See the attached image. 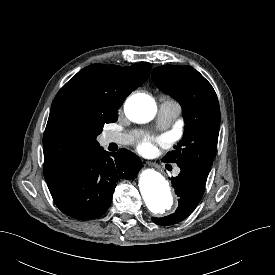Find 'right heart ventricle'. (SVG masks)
<instances>
[{
  "instance_id": "e07e8e85",
  "label": "right heart ventricle",
  "mask_w": 275,
  "mask_h": 275,
  "mask_svg": "<svg viewBox=\"0 0 275 275\" xmlns=\"http://www.w3.org/2000/svg\"><path fill=\"white\" fill-rule=\"evenodd\" d=\"M165 100L171 101L170 99H165Z\"/></svg>"
}]
</instances>
